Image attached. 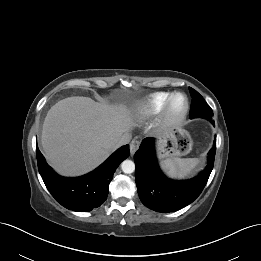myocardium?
Segmentation results:
<instances>
[{"label": "myocardium", "instance_id": "myocardium-1", "mask_svg": "<svg viewBox=\"0 0 261 261\" xmlns=\"http://www.w3.org/2000/svg\"><path fill=\"white\" fill-rule=\"evenodd\" d=\"M181 96L184 98V107L180 112H174L173 102L178 97ZM189 112V100L188 97L181 92H176L171 94L169 97L160 119V126L164 129L174 128L180 125L186 118Z\"/></svg>", "mask_w": 261, "mask_h": 261}]
</instances>
